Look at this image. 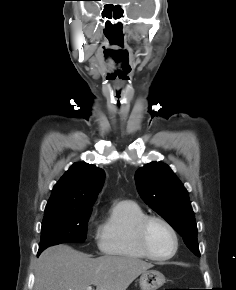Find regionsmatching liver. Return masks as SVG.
I'll return each instance as SVG.
<instances>
[{
    "instance_id": "1",
    "label": "liver",
    "mask_w": 236,
    "mask_h": 290,
    "mask_svg": "<svg viewBox=\"0 0 236 290\" xmlns=\"http://www.w3.org/2000/svg\"><path fill=\"white\" fill-rule=\"evenodd\" d=\"M151 263L121 256L91 258L68 245L47 248L35 267L34 290H126Z\"/></svg>"
}]
</instances>
